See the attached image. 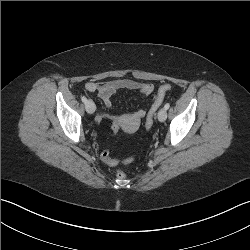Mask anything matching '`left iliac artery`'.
Here are the masks:
<instances>
[{
  "mask_svg": "<svg viewBox=\"0 0 250 250\" xmlns=\"http://www.w3.org/2000/svg\"><path fill=\"white\" fill-rule=\"evenodd\" d=\"M169 107H170V104H169V103H166L165 106H164V108H165L166 110L169 109Z\"/></svg>",
  "mask_w": 250,
  "mask_h": 250,
  "instance_id": "left-iliac-artery-1",
  "label": "left iliac artery"
}]
</instances>
